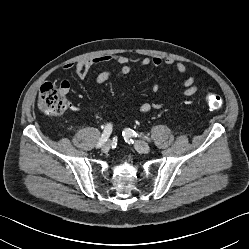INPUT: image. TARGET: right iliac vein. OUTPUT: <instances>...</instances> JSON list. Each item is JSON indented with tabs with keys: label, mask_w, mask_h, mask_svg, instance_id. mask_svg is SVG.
I'll list each match as a JSON object with an SVG mask.
<instances>
[{
	"label": "right iliac vein",
	"mask_w": 249,
	"mask_h": 249,
	"mask_svg": "<svg viewBox=\"0 0 249 249\" xmlns=\"http://www.w3.org/2000/svg\"><path fill=\"white\" fill-rule=\"evenodd\" d=\"M110 147H111V142L107 141L106 143L103 144L101 149L103 152H108L110 150Z\"/></svg>",
	"instance_id": "right-iliac-vein-1"
}]
</instances>
